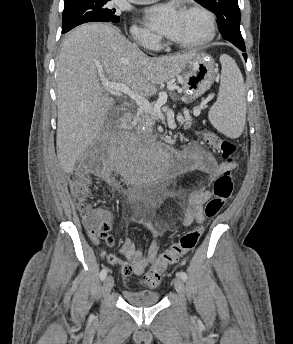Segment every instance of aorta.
<instances>
[{
    "label": "aorta",
    "mask_w": 293,
    "mask_h": 344,
    "mask_svg": "<svg viewBox=\"0 0 293 344\" xmlns=\"http://www.w3.org/2000/svg\"><path fill=\"white\" fill-rule=\"evenodd\" d=\"M168 155L165 152H160L154 156L151 161V167L154 171H162L166 167Z\"/></svg>",
    "instance_id": "762f6f07"
}]
</instances>
